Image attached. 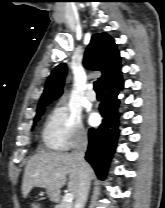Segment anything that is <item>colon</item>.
<instances>
[{"instance_id": "colon-1", "label": "colon", "mask_w": 165, "mask_h": 208, "mask_svg": "<svg viewBox=\"0 0 165 208\" xmlns=\"http://www.w3.org/2000/svg\"><path fill=\"white\" fill-rule=\"evenodd\" d=\"M30 208H41V206H40V204L37 203V202H32V203L30 204Z\"/></svg>"}]
</instances>
